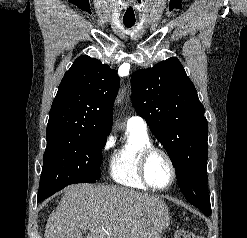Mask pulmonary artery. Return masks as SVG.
Listing matches in <instances>:
<instances>
[{"label":"pulmonary artery","instance_id":"pulmonary-artery-1","mask_svg":"<svg viewBox=\"0 0 247 238\" xmlns=\"http://www.w3.org/2000/svg\"><path fill=\"white\" fill-rule=\"evenodd\" d=\"M127 126L135 127L141 130H147L146 121L138 115L130 116L127 120Z\"/></svg>","mask_w":247,"mask_h":238}]
</instances>
